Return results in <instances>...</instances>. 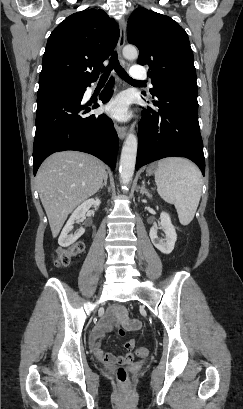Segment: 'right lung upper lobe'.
<instances>
[{
	"mask_svg": "<svg viewBox=\"0 0 243 409\" xmlns=\"http://www.w3.org/2000/svg\"><path fill=\"white\" fill-rule=\"evenodd\" d=\"M118 38V25L101 9L70 15L48 39L39 79L63 77L81 84L97 79Z\"/></svg>",
	"mask_w": 243,
	"mask_h": 409,
	"instance_id": "cb5924a9",
	"label": "right lung upper lobe"
}]
</instances>
